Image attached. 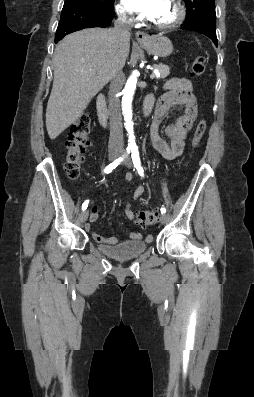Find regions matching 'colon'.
<instances>
[{
    "label": "colon",
    "instance_id": "5ec220e1",
    "mask_svg": "<svg viewBox=\"0 0 254 397\" xmlns=\"http://www.w3.org/2000/svg\"><path fill=\"white\" fill-rule=\"evenodd\" d=\"M205 70V58L197 56L192 65V73L201 76ZM206 131V121L201 119L194 131L191 140V153L198 147ZM91 132V122L88 115H81L70 127L65 142L67 148L65 171L70 179H76L80 174L81 164L85 159L86 148L89 145L88 135ZM139 225L148 226L157 223L158 214L154 210L139 211L135 215Z\"/></svg>",
    "mask_w": 254,
    "mask_h": 397
}]
</instances>
